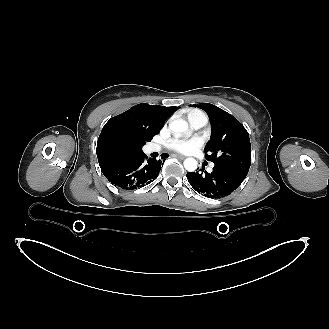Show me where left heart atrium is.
Segmentation results:
<instances>
[{
    "label": "left heart atrium",
    "instance_id": "1",
    "mask_svg": "<svg viewBox=\"0 0 329 329\" xmlns=\"http://www.w3.org/2000/svg\"><path fill=\"white\" fill-rule=\"evenodd\" d=\"M202 143V139L197 136L188 139L174 138L168 142V147L179 153H191L197 150Z\"/></svg>",
    "mask_w": 329,
    "mask_h": 329
}]
</instances>
